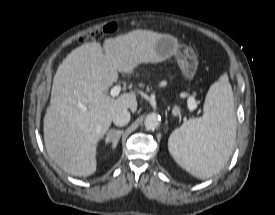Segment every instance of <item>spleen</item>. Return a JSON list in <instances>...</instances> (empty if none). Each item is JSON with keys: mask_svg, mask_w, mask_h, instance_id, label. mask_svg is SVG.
Instances as JSON below:
<instances>
[{"mask_svg": "<svg viewBox=\"0 0 275 215\" xmlns=\"http://www.w3.org/2000/svg\"><path fill=\"white\" fill-rule=\"evenodd\" d=\"M234 98L224 73L208 90L204 115L172 132L168 147L174 160L199 179L218 173L228 162L236 139Z\"/></svg>", "mask_w": 275, "mask_h": 215, "instance_id": "obj_1", "label": "spleen"}]
</instances>
